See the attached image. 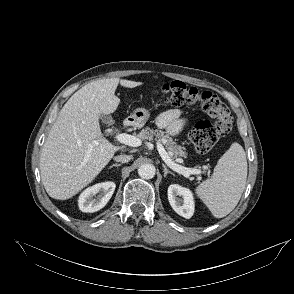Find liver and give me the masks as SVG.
Segmentation results:
<instances>
[{"label":"liver","instance_id":"1","mask_svg":"<svg viewBox=\"0 0 294 294\" xmlns=\"http://www.w3.org/2000/svg\"><path fill=\"white\" fill-rule=\"evenodd\" d=\"M120 83L135 88L142 82L108 78L93 81L65 103L43 145L40 157L42 183L48 195L66 200L90 184L123 147L101 133L99 118L116 111Z\"/></svg>","mask_w":294,"mask_h":294}]
</instances>
